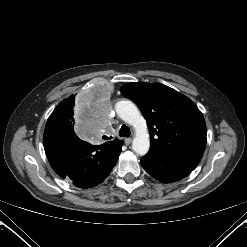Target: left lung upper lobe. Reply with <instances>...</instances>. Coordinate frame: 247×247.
Returning a JSON list of instances; mask_svg holds the SVG:
<instances>
[{
	"label": "left lung upper lobe",
	"mask_w": 247,
	"mask_h": 247,
	"mask_svg": "<svg viewBox=\"0 0 247 247\" xmlns=\"http://www.w3.org/2000/svg\"><path fill=\"white\" fill-rule=\"evenodd\" d=\"M121 92L137 104L146 119L150 149L164 152L205 150L206 124L189 98L157 83H130L122 86Z\"/></svg>",
	"instance_id": "5c2ea615"
}]
</instances>
